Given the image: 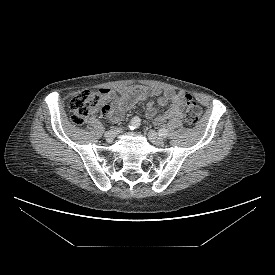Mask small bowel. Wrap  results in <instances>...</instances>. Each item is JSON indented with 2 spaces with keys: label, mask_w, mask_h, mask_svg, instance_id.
<instances>
[{
  "label": "small bowel",
  "mask_w": 275,
  "mask_h": 275,
  "mask_svg": "<svg viewBox=\"0 0 275 275\" xmlns=\"http://www.w3.org/2000/svg\"><path fill=\"white\" fill-rule=\"evenodd\" d=\"M100 93L109 102L103 113L112 121L119 122L123 115L137 102L146 101L145 114L156 124L165 121L181 119L183 116V94L173 89H157L144 85L120 86L117 89H101ZM157 96V104L168 109L159 114L154 101L149 100Z\"/></svg>",
  "instance_id": "obj_1"
}]
</instances>
